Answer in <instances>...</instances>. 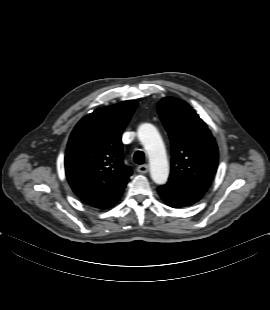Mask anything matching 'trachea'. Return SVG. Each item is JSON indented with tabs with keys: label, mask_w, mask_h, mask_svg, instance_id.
Listing matches in <instances>:
<instances>
[{
	"label": "trachea",
	"mask_w": 270,
	"mask_h": 310,
	"mask_svg": "<svg viewBox=\"0 0 270 310\" xmlns=\"http://www.w3.org/2000/svg\"><path fill=\"white\" fill-rule=\"evenodd\" d=\"M145 161V154L142 151H137L134 154V162L136 164H143Z\"/></svg>",
	"instance_id": "1"
}]
</instances>
